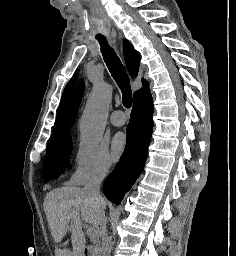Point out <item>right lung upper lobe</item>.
<instances>
[{
	"label": "right lung upper lobe",
	"instance_id": "obj_1",
	"mask_svg": "<svg viewBox=\"0 0 236 256\" xmlns=\"http://www.w3.org/2000/svg\"><path fill=\"white\" fill-rule=\"evenodd\" d=\"M124 57L127 64L128 71L132 77H136L139 70L140 56L138 52L133 48L129 41L124 40ZM77 80V74L67 83L62 99L60 102V108L57 112L56 122L53 128V134L51 135L49 142L60 140L69 136V125H68V107L71 97L72 90ZM143 81L144 87L134 93L136 98L142 91L146 90L147 82Z\"/></svg>",
	"mask_w": 236,
	"mask_h": 256
}]
</instances>
